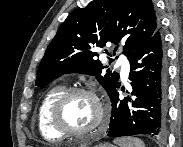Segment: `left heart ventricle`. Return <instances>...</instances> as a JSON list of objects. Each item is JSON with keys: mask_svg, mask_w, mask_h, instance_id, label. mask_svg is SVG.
<instances>
[{"mask_svg": "<svg viewBox=\"0 0 183 147\" xmlns=\"http://www.w3.org/2000/svg\"><path fill=\"white\" fill-rule=\"evenodd\" d=\"M63 115L70 128L81 130L94 123L97 111L90 97L77 95L67 102Z\"/></svg>", "mask_w": 183, "mask_h": 147, "instance_id": "1", "label": "left heart ventricle"}]
</instances>
